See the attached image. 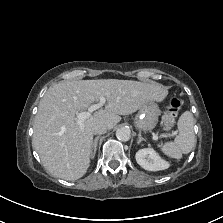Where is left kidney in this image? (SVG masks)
Segmentation results:
<instances>
[{
  "mask_svg": "<svg viewBox=\"0 0 223 223\" xmlns=\"http://www.w3.org/2000/svg\"><path fill=\"white\" fill-rule=\"evenodd\" d=\"M135 158L137 163L148 171L165 170L169 167V163L163 160L152 148L140 149Z\"/></svg>",
  "mask_w": 223,
  "mask_h": 223,
  "instance_id": "1",
  "label": "left kidney"
}]
</instances>
